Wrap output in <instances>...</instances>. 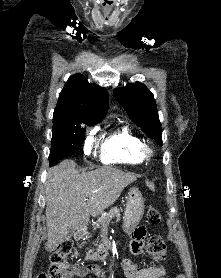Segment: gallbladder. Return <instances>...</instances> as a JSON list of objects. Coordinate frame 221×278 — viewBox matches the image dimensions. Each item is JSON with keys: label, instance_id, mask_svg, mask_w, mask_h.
Returning a JSON list of instances; mask_svg holds the SVG:
<instances>
[{"label": "gallbladder", "instance_id": "gallbladder-1", "mask_svg": "<svg viewBox=\"0 0 221 278\" xmlns=\"http://www.w3.org/2000/svg\"><path fill=\"white\" fill-rule=\"evenodd\" d=\"M73 232H74V231H70V232L66 235V237L64 238V240H69V239L72 237Z\"/></svg>", "mask_w": 221, "mask_h": 278}]
</instances>
